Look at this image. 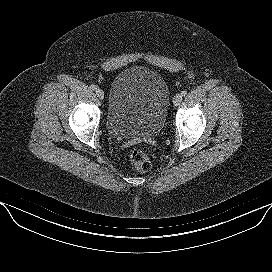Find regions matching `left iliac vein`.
Masks as SVG:
<instances>
[{
  "label": "left iliac vein",
  "instance_id": "left-iliac-vein-1",
  "mask_svg": "<svg viewBox=\"0 0 272 272\" xmlns=\"http://www.w3.org/2000/svg\"><path fill=\"white\" fill-rule=\"evenodd\" d=\"M181 102H182V95L177 94L176 96H174V98H173V104L175 106L180 105Z\"/></svg>",
  "mask_w": 272,
  "mask_h": 272
}]
</instances>
